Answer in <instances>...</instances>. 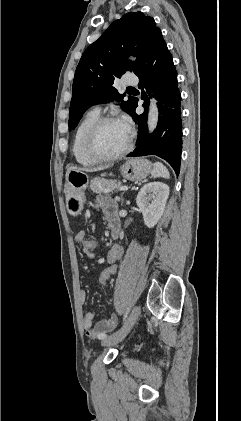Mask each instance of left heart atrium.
<instances>
[{
    "label": "left heart atrium",
    "instance_id": "39dd6f15",
    "mask_svg": "<svg viewBox=\"0 0 241 421\" xmlns=\"http://www.w3.org/2000/svg\"><path fill=\"white\" fill-rule=\"evenodd\" d=\"M119 122L128 130H130V120L127 117H122Z\"/></svg>",
    "mask_w": 241,
    "mask_h": 421
}]
</instances>
